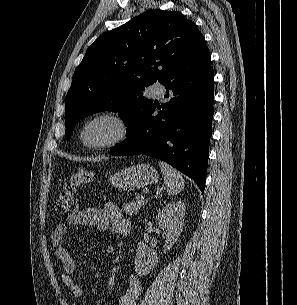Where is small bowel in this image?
Returning a JSON list of instances; mask_svg holds the SVG:
<instances>
[{
  "mask_svg": "<svg viewBox=\"0 0 297 305\" xmlns=\"http://www.w3.org/2000/svg\"><path fill=\"white\" fill-rule=\"evenodd\" d=\"M77 225L94 226L99 230H111L114 233H126L129 231V222L122 217L121 210L113 203H107L102 207H87L69 215L64 221L57 224L52 233V243L58 259L63 268L61 278L72 295L80 298L85 294V287L74 281L73 274L76 263L66 247L64 239L71 228ZM105 251L111 255L115 252V246L109 244ZM141 293V283L136 275H130L127 286L118 300V305H136Z\"/></svg>",
  "mask_w": 297,
  "mask_h": 305,
  "instance_id": "1",
  "label": "small bowel"
}]
</instances>
